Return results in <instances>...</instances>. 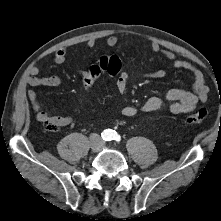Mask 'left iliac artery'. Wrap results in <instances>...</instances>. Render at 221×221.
Instances as JSON below:
<instances>
[{
    "mask_svg": "<svg viewBox=\"0 0 221 221\" xmlns=\"http://www.w3.org/2000/svg\"><path fill=\"white\" fill-rule=\"evenodd\" d=\"M109 140L120 141V135L116 131H112Z\"/></svg>",
    "mask_w": 221,
    "mask_h": 221,
    "instance_id": "1",
    "label": "left iliac artery"
}]
</instances>
